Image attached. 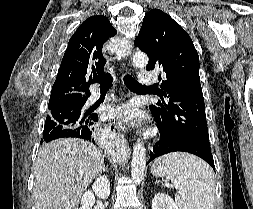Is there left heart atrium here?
<instances>
[{
  "label": "left heart atrium",
  "mask_w": 253,
  "mask_h": 209,
  "mask_svg": "<svg viewBox=\"0 0 253 209\" xmlns=\"http://www.w3.org/2000/svg\"><path fill=\"white\" fill-rule=\"evenodd\" d=\"M104 116L109 121L133 123L138 114L134 105L128 103L122 106H113L105 109Z\"/></svg>",
  "instance_id": "obj_1"
}]
</instances>
